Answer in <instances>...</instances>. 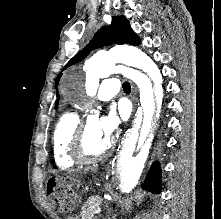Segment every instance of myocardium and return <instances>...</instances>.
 <instances>
[{
  "label": "myocardium",
  "instance_id": "obj_1",
  "mask_svg": "<svg viewBox=\"0 0 221 219\" xmlns=\"http://www.w3.org/2000/svg\"><path fill=\"white\" fill-rule=\"evenodd\" d=\"M87 121L78 125L70 145V156L78 164H90L106 158L114 148V140L110 139L105 150L97 155L88 156L84 153L83 144Z\"/></svg>",
  "mask_w": 221,
  "mask_h": 219
}]
</instances>
